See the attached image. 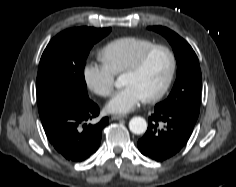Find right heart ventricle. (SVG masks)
<instances>
[{
  "label": "right heart ventricle",
  "instance_id": "e07e8e85",
  "mask_svg": "<svg viewBox=\"0 0 236 187\" xmlns=\"http://www.w3.org/2000/svg\"><path fill=\"white\" fill-rule=\"evenodd\" d=\"M154 45L153 41L135 36L120 37L106 44L98 53L102 64L113 74L123 73L139 53Z\"/></svg>",
  "mask_w": 236,
  "mask_h": 187
}]
</instances>
